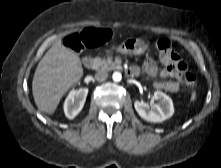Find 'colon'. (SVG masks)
<instances>
[{"instance_id": "colon-1", "label": "colon", "mask_w": 221, "mask_h": 168, "mask_svg": "<svg viewBox=\"0 0 221 168\" xmlns=\"http://www.w3.org/2000/svg\"><path fill=\"white\" fill-rule=\"evenodd\" d=\"M109 38V29L88 28L81 31L80 33H73L68 35L64 39V44L74 51H82L85 48L95 47L108 40ZM156 45L161 55L166 56L173 51L171 42L167 38H160ZM188 74V78L186 81H184V83L187 87L194 89L196 88V77L191 72Z\"/></svg>"}]
</instances>
